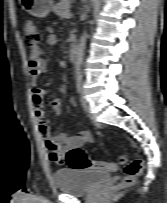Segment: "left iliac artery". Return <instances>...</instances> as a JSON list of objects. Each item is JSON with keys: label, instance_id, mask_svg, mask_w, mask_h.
I'll return each mask as SVG.
<instances>
[{"label": "left iliac artery", "instance_id": "left-iliac-artery-1", "mask_svg": "<svg viewBox=\"0 0 167 203\" xmlns=\"http://www.w3.org/2000/svg\"><path fill=\"white\" fill-rule=\"evenodd\" d=\"M76 83H77V90H78V92H82V83H81V76H77V81H76Z\"/></svg>", "mask_w": 167, "mask_h": 203}]
</instances>
